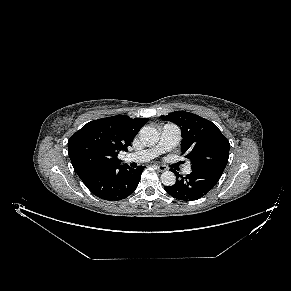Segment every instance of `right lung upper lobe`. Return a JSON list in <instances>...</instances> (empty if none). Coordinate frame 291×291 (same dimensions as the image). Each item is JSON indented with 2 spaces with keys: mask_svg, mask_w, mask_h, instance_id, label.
Segmentation results:
<instances>
[{
  "mask_svg": "<svg viewBox=\"0 0 291 291\" xmlns=\"http://www.w3.org/2000/svg\"><path fill=\"white\" fill-rule=\"evenodd\" d=\"M148 118L117 115L91 121L68 140V154L76 173L98 164L120 165L126 150Z\"/></svg>",
  "mask_w": 291,
  "mask_h": 291,
  "instance_id": "right-lung-upper-lobe-1",
  "label": "right lung upper lobe"
}]
</instances>
